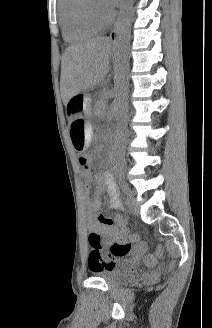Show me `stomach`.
<instances>
[{
    "mask_svg": "<svg viewBox=\"0 0 212 328\" xmlns=\"http://www.w3.org/2000/svg\"><path fill=\"white\" fill-rule=\"evenodd\" d=\"M66 124L69 125L70 137L76 151L82 152L89 146L91 140V121L94 109L90 98L81 92L69 99L65 104Z\"/></svg>",
    "mask_w": 212,
    "mask_h": 328,
    "instance_id": "obj_1",
    "label": "stomach"
}]
</instances>
